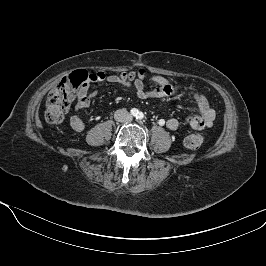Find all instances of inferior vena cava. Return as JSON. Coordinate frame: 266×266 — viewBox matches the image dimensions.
Returning <instances> with one entry per match:
<instances>
[{"mask_svg": "<svg viewBox=\"0 0 266 266\" xmlns=\"http://www.w3.org/2000/svg\"><path fill=\"white\" fill-rule=\"evenodd\" d=\"M114 119L118 122L129 123L132 121V116L126 109H118L114 113Z\"/></svg>", "mask_w": 266, "mask_h": 266, "instance_id": "1", "label": "inferior vena cava"}]
</instances>
